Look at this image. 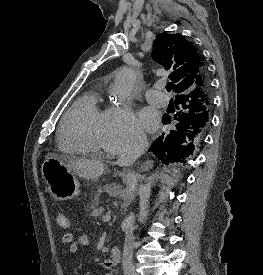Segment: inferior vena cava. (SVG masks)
Segmentation results:
<instances>
[{
  "label": "inferior vena cava",
  "mask_w": 263,
  "mask_h": 275,
  "mask_svg": "<svg viewBox=\"0 0 263 275\" xmlns=\"http://www.w3.org/2000/svg\"><path fill=\"white\" fill-rule=\"evenodd\" d=\"M148 145V140L144 133L137 135L130 143L122 148L117 164L120 166H132L145 152ZM128 179L129 192L132 194L136 190L137 176L134 173H129ZM133 225L134 216L131 214L125 220V241L122 258L124 275H137L133 265V249L135 244Z\"/></svg>",
  "instance_id": "inferior-vena-cava-1"
}]
</instances>
